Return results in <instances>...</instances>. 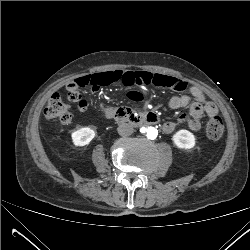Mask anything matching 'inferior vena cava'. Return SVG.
<instances>
[{
  "label": "inferior vena cava",
  "instance_id": "obj_1",
  "mask_svg": "<svg viewBox=\"0 0 250 250\" xmlns=\"http://www.w3.org/2000/svg\"><path fill=\"white\" fill-rule=\"evenodd\" d=\"M132 127L127 123H122L118 126L117 131L121 136H126L132 133Z\"/></svg>",
  "mask_w": 250,
  "mask_h": 250
}]
</instances>
